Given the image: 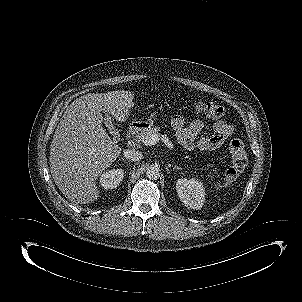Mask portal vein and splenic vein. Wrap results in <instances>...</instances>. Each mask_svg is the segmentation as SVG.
Masks as SVG:
<instances>
[{
  "mask_svg": "<svg viewBox=\"0 0 302 302\" xmlns=\"http://www.w3.org/2000/svg\"><path fill=\"white\" fill-rule=\"evenodd\" d=\"M160 139H161L160 135L155 134V135L145 138V140H143V143L145 146H152V145H155L157 142H159Z\"/></svg>",
  "mask_w": 302,
  "mask_h": 302,
  "instance_id": "obj_1",
  "label": "portal vein and splenic vein"
}]
</instances>
